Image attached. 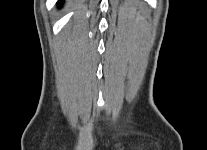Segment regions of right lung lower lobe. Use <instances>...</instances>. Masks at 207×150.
<instances>
[{"label": "right lung lower lobe", "mask_w": 207, "mask_h": 150, "mask_svg": "<svg viewBox=\"0 0 207 150\" xmlns=\"http://www.w3.org/2000/svg\"><path fill=\"white\" fill-rule=\"evenodd\" d=\"M62 3H63V1H62V0H61V1H58V4H59V5H61Z\"/></svg>", "instance_id": "98d812e1"}]
</instances>
